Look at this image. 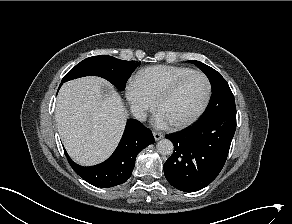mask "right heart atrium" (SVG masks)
Masks as SVG:
<instances>
[{"mask_svg":"<svg viewBox=\"0 0 292 224\" xmlns=\"http://www.w3.org/2000/svg\"><path fill=\"white\" fill-rule=\"evenodd\" d=\"M126 97L133 112L139 117L144 116L154 107L153 101L147 97L134 81L127 86Z\"/></svg>","mask_w":292,"mask_h":224,"instance_id":"right-heart-atrium-1","label":"right heart atrium"}]
</instances>
